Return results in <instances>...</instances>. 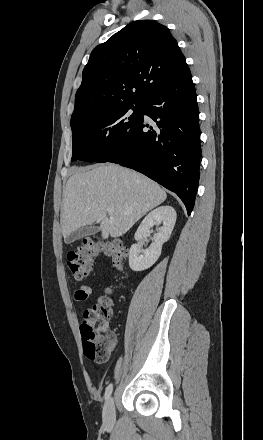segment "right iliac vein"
Segmentation results:
<instances>
[{
	"label": "right iliac vein",
	"mask_w": 263,
	"mask_h": 440,
	"mask_svg": "<svg viewBox=\"0 0 263 440\" xmlns=\"http://www.w3.org/2000/svg\"><path fill=\"white\" fill-rule=\"evenodd\" d=\"M115 419L114 399L110 397L103 409V423L106 427H113Z\"/></svg>",
	"instance_id": "right-iliac-vein-1"
}]
</instances>
